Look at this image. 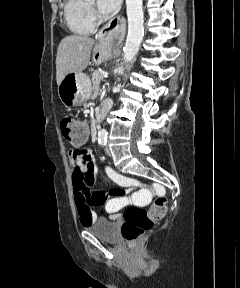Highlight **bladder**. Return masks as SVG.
Listing matches in <instances>:
<instances>
[{
    "instance_id": "31cf9c89",
    "label": "bladder",
    "mask_w": 240,
    "mask_h": 288,
    "mask_svg": "<svg viewBox=\"0 0 240 288\" xmlns=\"http://www.w3.org/2000/svg\"><path fill=\"white\" fill-rule=\"evenodd\" d=\"M86 230L103 241L114 242L117 239L116 225L109 220L99 219L87 225Z\"/></svg>"
}]
</instances>
